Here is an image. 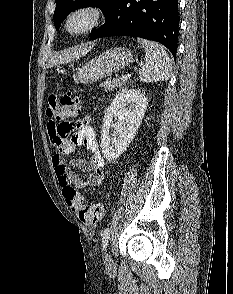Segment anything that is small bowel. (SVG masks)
<instances>
[{
  "label": "small bowel",
  "mask_w": 233,
  "mask_h": 294,
  "mask_svg": "<svg viewBox=\"0 0 233 294\" xmlns=\"http://www.w3.org/2000/svg\"><path fill=\"white\" fill-rule=\"evenodd\" d=\"M48 135L51 144L58 151L52 157V163L58 183L63 189L69 186L81 190L102 184L104 158L88 118L73 123L72 120L60 121V117H53L48 124ZM78 146L84 147L90 153V158L66 159L65 156L73 153ZM75 170L85 174V177H81Z\"/></svg>",
  "instance_id": "c3829d8e"
}]
</instances>
